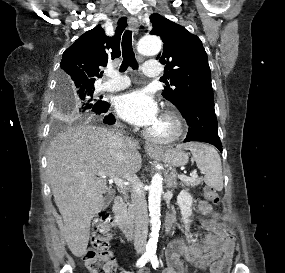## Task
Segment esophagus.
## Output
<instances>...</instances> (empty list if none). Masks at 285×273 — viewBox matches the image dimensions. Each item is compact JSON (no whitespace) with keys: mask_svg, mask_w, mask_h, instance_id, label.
<instances>
[{"mask_svg":"<svg viewBox=\"0 0 285 273\" xmlns=\"http://www.w3.org/2000/svg\"><path fill=\"white\" fill-rule=\"evenodd\" d=\"M129 27L135 32V34L138 33L139 23L135 16H131L129 18ZM144 147L149 153L158 152L157 148L152 143L146 142Z\"/></svg>","mask_w":285,"mask_h":273,"instance_id":"1","label":"esophagus"}]
</instances>
